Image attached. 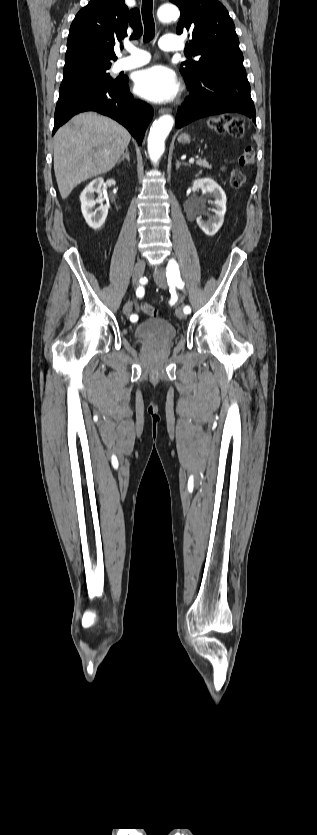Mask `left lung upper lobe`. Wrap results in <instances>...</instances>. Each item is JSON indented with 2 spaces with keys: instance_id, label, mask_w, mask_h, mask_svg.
<instances>
[{
  "instance_id": "left-lung-upper-lobe-1",
  "label": "left lung upper lobe",
  "mask_w": 317,
  "mask_h": 835,
  "mask_svg": "<svg viewBox=\"0 0 317 835\" xmlns=\"http://www.w3.org/2000/svg\"><path fill=\"white\" fill-rule=\"evenodd\" d=\"M181 11L177 34L189 32L192 39L188 51L199 60L182 62L181 74L186 80L200 78L201 73L214 63H243L235 25L226 8L217 0H169Z\"/></svg>"
}]
</instances>
